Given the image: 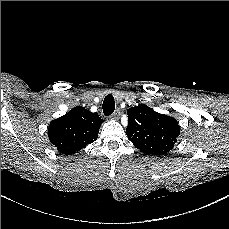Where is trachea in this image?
Wrapping results in <instances>:
<instances>
[{"mask_svg": "<svg viewBox=\"0 0 229 229\" xmlns=\"http://www.w3.org/2000/svg\"><path fill=\"white\" fill-rule=\"evenodd\" d=\"M115 109V101L112 94H108L103 101V113L106 116L113 114Z\"/></svg>", "mask_w": 229, "mask_h": 229, "instance_id": "trachea-1", "label": "trachea"}]
</instances>
